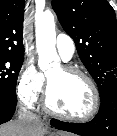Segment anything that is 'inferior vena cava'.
I'll list each match as a JSON object with an SVG mask.
<instances>
[{"label":"inferior vena cava","instance_id":"602c4592","mask_svg":"<svg viewBox=\"0 0 117 136\" xmlns=\"http://www.w3.org/2000/svg\"><path fill=\"white\" fill-rule=\"evenodd\" d=\"M18 119L25 122L27 124V127L31 130L41 127V122L39 118L36 115L32 114L30 111H28L25 107L20 108L18 112Z\"/></svg>","mask_w":117,"mask_h":136}]
</instances>
